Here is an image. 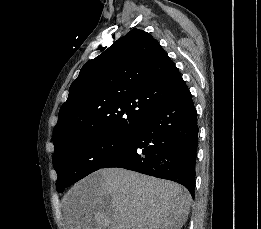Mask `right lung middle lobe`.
<instances>
[{
	"label": "right lung middle lobe",
	"instance_id": "dd1d6c3e",
	"mask_svg": "<svg viewBox=\"0 0 261 229\" xmlns=\"http://www.w3.org/2000/svg\"><path fill=\"white\" fill-rule=\"evenodd\" d=\"M134 136L85 133L63 142L53 154V166L58 174L56 190L61 193L66 187L102 168L126 150Z\"/></svg>",
	"mask_w": 261,
	"mask_h": 229
}]
</instances>
